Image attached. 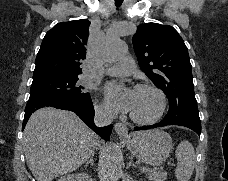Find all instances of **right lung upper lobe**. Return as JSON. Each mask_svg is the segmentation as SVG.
I'll return each mask as SVG.
<instances>
[{
    "label": "right lung upper lobe",
    "mask_w": 228,
    "mask_h": 181,
    "mask_svg": "<svg viewBox=\"0 0 228 181\" xmlns=\"http://www.w3.org/2000/svg\"><path fill=\"white\" fill-rule=\"evenodd\" d=\"M89 26L90 21L81 19L60 22L49 30L37 54L33 78L81 74Z\"/></svg>",
    "instance_id": "cb5924a9"
}]
</instances>
